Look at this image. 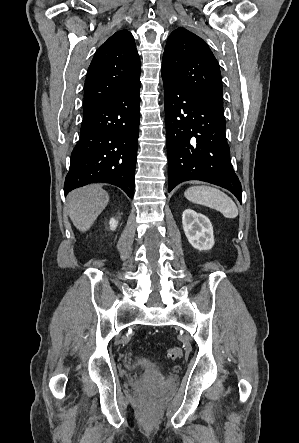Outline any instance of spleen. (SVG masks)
<instances>
[{
  "label": "spleen",
  "instance_id": "spleen-1",
  "mask_svg": "<svg viewBox=\"0 0 299 443\" xmlns=\"http://www.w3.org/2000/svg\"><path fill=\"white\" fill-rule=\"evenodd\" d=\"M184 195L192 203L213 208L221 212L226 218H235L238 216V208L234 201L217 188L194 186L188 188Z\"/></svg>",
  "mask_w": 299,
  "mask_h": 443
}]
</instances>
